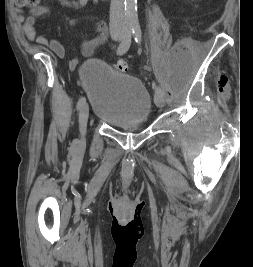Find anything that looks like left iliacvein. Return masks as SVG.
Segmentation results:
<instances>
[{"mask_svg":"<svg viewBox=\"0 0 253 267\" xmlns=\"http://www.w3.org/2000/svg\"><path fill=\"white\" fill-rule=\"evenodd\" d=\"M165 101V94L163 93H157L154 96V103L156 104L157 107L161 108L164 105Z\"/></svg>","mask_w":253,"mask_h":267,"instance_id":"left-iliac-vein-1","label":"left iliac vein"}]
</instances>
